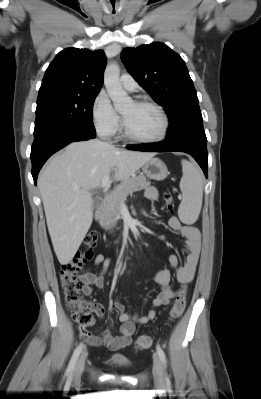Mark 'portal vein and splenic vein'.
<instances>
[{"label": "portal vein and splenic vein", "instance_id": "18ae733b", "mask_svg": "<svg viewBox=\"0 0 261 399\" xmlns=\"http://www.w3.org/2000/svg\"><path fill=\"white\" fill-rule=\"evenodd\" d=\"M100 186L105 189H108L110 187L109 175L103 177Z\"/></svg>", "mask_w": 261, "mask_h": 399}]
</instances>
